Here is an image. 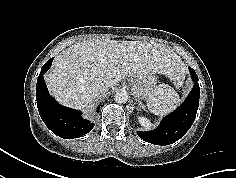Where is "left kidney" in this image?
<instances>
[{"label": "left kidney", "mask_w": 236, "mask_h": 178, "mask_svg": "<svg viewBox=\"0 0 236 178\" xmlns=\"http://www.w3.org/2000/svg\"><path fill=\"white\" fill-rule=\"evenodd\" d=\"M138 122L141 126H143L146 129H150L152 126L150 121L144 116L138 117Z\"/></svg>", "instance_id": "5707ae66"}]
</instances>
